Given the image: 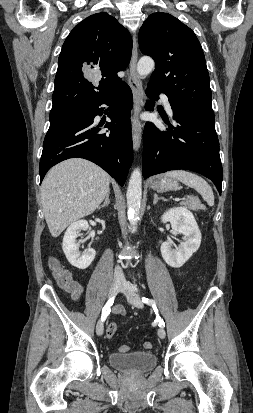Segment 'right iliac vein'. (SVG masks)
<instances>
[{"instance_id": "63e3f726", "label": "right iliac vein", "mask_w": 253, "mask_h": 413, "mask_svg": "<svg viewBox=\"0 0 253 413\" xmlns=\"http://www.w3.org/2000/svg\"><path fill=\"white\" fill-rule=\"evenodd\" d=\"M121 285H122V283H121L120 280H114L111 287H110L108 297L112 298L113 296H115L118 293V291L120 290ZM103 331H104L103 322L101 320H99L97 325H96V333H97V335L101 336L103 334Z\"/></svg>"}]
</instances>
